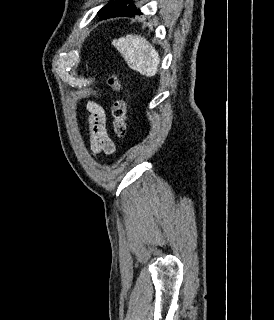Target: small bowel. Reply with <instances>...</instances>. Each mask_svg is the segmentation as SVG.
<instances>
[{
  "label": "small bowel",
  "mask_w": 274,
  "mask_h": 320,
  "mask_svg": "<svg viewBox=\"0 0 274 320\" xmlns=\"http://www.w3.org/2000/svg\"><path fill=\"white\" fill-rule=\"evenodd\" d=\"M86 109L88 112L86 124L93 154L113 153L114 143L106 130V113L104 109L94 101H88Z\"/></svg>",
  "instance_id": "obj_1"
}]
</instances>
